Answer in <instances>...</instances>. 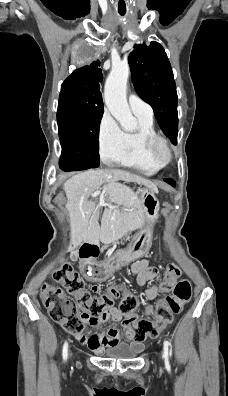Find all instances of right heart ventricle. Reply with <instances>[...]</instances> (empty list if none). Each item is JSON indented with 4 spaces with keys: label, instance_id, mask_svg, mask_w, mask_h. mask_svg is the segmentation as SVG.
Segmentation results:
<instances>
[{
    "label": "right heart ventricle",
    "instance_id": "right-heart-ventricle-1",
    "mask_svg": "<svg viewBox=\"0 0 228 396\" xmlns=\"http://www.w3.org/2000/svg\"><path fill=\"white\" fill-rule=\"evenodd\" d=\"M138 130L124 133V145L119 155L112 161L117 165L134 169L145 175H153L159 167L153 165L146 157L143 149L142 135H156L153 117L135 114Z\"/></svg>",
    "mask_w": 228,
    "mask_h": 396
}]
</instances>
